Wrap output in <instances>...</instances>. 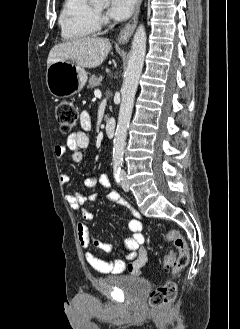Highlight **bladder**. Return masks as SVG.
Wrapping results in <instances>:
<instances>
[{
  "instance_id": "31cf9c89",
  "label": "bladder",
  "mask_w": 240,
  "mask_h": 329,
  "mask_svg": "<svg viewBox=\"0 0 240 329\" xmlns=\"http://www.w3.org/2000/svg\"><path fill=\"white\" fill-rule=\"evenodd\" d=\"M109 280L132 297H142L150 290L149 281L141 276L115 275Z\"/></svg>"
}]
</instances>
